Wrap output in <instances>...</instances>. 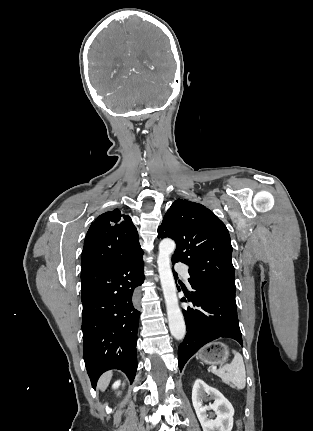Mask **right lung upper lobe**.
Returning a JSON list of instances; mask_svg holds the SVG:
<instances>
[{
  "instance_id": "1",
  "label": "right lung upper lobe",
  "mask_w": 313,
  "mask_h": 431,
  "mask_svg": "<svg viewBox=\"0 0 313 431\" xmlns=\"http://www.w3.org/2000/svg\"><path fill=\"white\" fill-rule=\"evenodd\" d=\"M143 254L131 218L114 209L101 214L90 226L82 252V270L122 263Z\"/></svg>"
}]
</instances>
